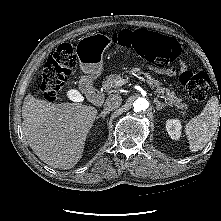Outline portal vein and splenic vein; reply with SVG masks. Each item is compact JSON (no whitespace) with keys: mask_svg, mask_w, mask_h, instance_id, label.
I'll return each instance as SVG.
<instances>
[{"mask_svg":"<svg viewBox=\"0 0 221 221\" xmlns=\"http://www.w3.org/2000/svg\"><path fill=\"white\" fill-rule=\"evenodd\" d=\"M125 83H128V80H125V81H124V84H125Z\"/></svg>","mask_w":221,"mask_h":221,"instance_id":"1","label":"portal vein and splenic vein"}]
</instances>
